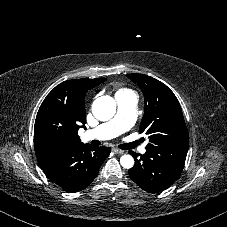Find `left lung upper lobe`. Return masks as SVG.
I'll use <instances>...</instances> for the list:
<instances>
[{
	"label": "left lung upper lobe",
	"mask_w": 227,
	"mask_h": 227,
	"mask_svg": "<svg viewBox=\"0 0 227 227\" xmlns=\"http://www.w3.org/2000/svg\"><path fill=\"white\" fill-rule=\"evenodd\" d=\"M142 90L145 112L139 132L149 136L147 146L188 145L189 134L180 104L162 82L143 74H127Z\"/></svg>",
	"instance_id": "left-lung-upper-lobe-1"
}]
</instances>
